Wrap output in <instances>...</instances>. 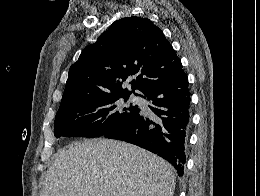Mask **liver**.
Listing matches in <instances>:
<instances>
[{"instance_id": "6515ba94", "label": "liver", "mask_w": 260, "mask_h": 196, "mask_svg": "<svg viewBox=\"0 0 260 196\" xmlns=\"http://www.w3.org/2000/svg\"><path fill=\"white\" fill-rule=\"evenodd\" d=\"M171 164L118 140L74 142L55 154L40 196H173Z\"/></svg>"}]
</instances>
